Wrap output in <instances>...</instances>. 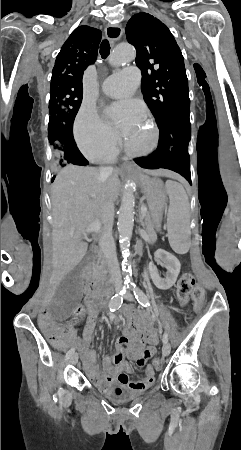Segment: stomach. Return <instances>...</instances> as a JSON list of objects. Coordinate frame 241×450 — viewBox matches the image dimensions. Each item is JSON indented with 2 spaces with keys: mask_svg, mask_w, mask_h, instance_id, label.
Segmentation results:
<instances>
[{
  "mask_svg": "<svg viewBox=\"0 0 241 450\" xmlns=\"http://www.w3.org/2000/svg\"><path fill=\"white\" fill-rule=\"evenodd\" d=\"M137 179L146 197L153 224L159 229L166 205V193L163 184L159 179L150 178L146 175H139Z\"/></svg>",
  "mask_w": 241,
  "mask_h": 450,
  "instance_id": "obj_1",
  "label": "stomach"
}]
</instances>
